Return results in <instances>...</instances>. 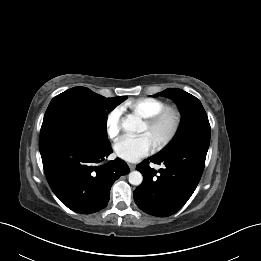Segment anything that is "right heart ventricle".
Returning <instances> with one entry per match:
<instances>
[{
  "label": "right heart ventricle",
  "mask_w": 261,
  "mask_h": 261,
  "mask_svg": "<svg viewBox=\"0 0 261 261\" xmlns=\"http://www.w3.org/2000/svg\"><path fill=\"white\" fill-rule=\"evenodd\" d=\"M165 105L166 103L160 99L142 97L126 101L123 107L140 118H147L165 107Z\"/></svg>",
  "instance_id": "1"
}]
</instances>
